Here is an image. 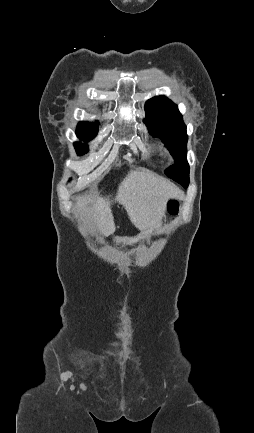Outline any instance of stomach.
I'll return each instance as SVG.
<instances>
[{
  "label": "stomach",
  "mask_w": 254,
  "mask_h": 433,
  "mask_svg": "<svg viewBox=\"0 0 254 433\" xmlns=\"http://www.w3.org/2000/svg\"><path fill=\"white\" fill-rule=\"evenodd\" d=\"M161 226V221L154 223L153 225H151L150 227H148L145 231H143L138 237H134V238H116V242L118 243H133L138 241L140 238L145 237L147 234H151L153 232H156L158 230V228Z\"/></svg>",
  "instance_id": "1"
}]
</instances>
